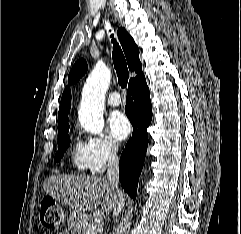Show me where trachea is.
<instances>
[{
	"label": "trachea",
	"instance_id": "3493384b",
	"mask_svg": "<svg viewBox=\"0 0 241 234\" xmlns=\"http://www.w3.org/2000/svg\"><path fill=\"white\" fill-rule=\"evenodd\" d=\"M113 36V35H112ZM114 44L113 47V63L118 76V83L122 88H125L128 82L129 72L127 68V63L123 52L115 39H112Z\"/></svg>",
	"mask_w": 241,
	"mask_h": 234
}]
</instances>
